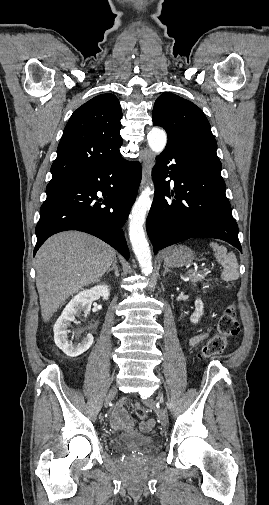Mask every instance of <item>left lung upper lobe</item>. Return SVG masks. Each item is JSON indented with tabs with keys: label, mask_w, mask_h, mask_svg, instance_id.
<instances>
[{
	"label": "left lung upper lobe",
	"mask_w": 269,
	"mask_h": 505,
	"mask_svg": "<svg viewBox=\"0 0 269 505\" xmlns=\"http://www.w3.org/2000/svg\"><path fill=\"white\" fill-rule=\"evenodd\" d=\"M152 118L153 125L163 127L168 138L177 137L216 154L217 143L210 124L194 103L173 93H163L154 104Z\"/></svg>",
	"instance_id": "left-lung-upper-lobe-1"
}]
</instances>
